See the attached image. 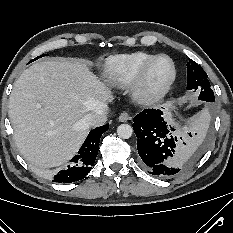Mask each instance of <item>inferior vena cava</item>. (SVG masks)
<instances>
[{"instance_id":"1","label":"inferior vena cava","mask_w":233,"mask_h":233,"mask_svg":"<svg viewBox=\"0 0 233 233\" xmlns=\"http://www.w3.org/2000/svg\"><path fill=\"white\" fill-rule=\"evenodd\" d=\"M109 107L106 104H100L96 111L89 113L85 121L89 127H98L107 121Z\"/></svg>"}]
</instances>
